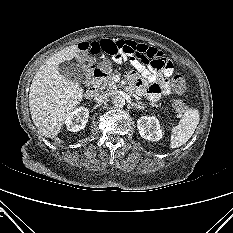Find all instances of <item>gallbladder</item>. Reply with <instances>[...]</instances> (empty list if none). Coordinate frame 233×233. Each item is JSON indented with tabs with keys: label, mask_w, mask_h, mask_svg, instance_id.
Segmentation results:
<instances>
[{
	"label": "gallbladder",
	"mask_w": 233,
	"mask_h": 233,
	"mask_svg": "<svg viewBox=\"0 0 233 233\" xmlns=\"http://www.w3.org/2000/svg\"><path fill=\"white\" fill-rule=\"evenodd\" d=\"M58 71L68 80L76 83H82L86 75L84 68L73 61L62 62L58 66Z\"/></svg>",
	"instance_id": "obj_1"
}]
</instances>
